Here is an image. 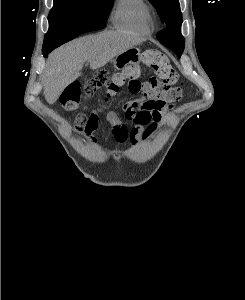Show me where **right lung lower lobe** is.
Listing matches in <instances>:
<instances>
[{"label":"right lung lower lobe","mask_w":245,"mask_h":300,"mask_svg":"<svg viewBox=\"0 0 245 300\" xmlns=\"http://www.w3.org/2000/svg\"><path fill=\"white\" fill-rule=\"evenodd\" d=\"M104 27H105V23L91 20V21L83 24L82 32L85 33V32H89V31H93V30H99ZM52 50H53V48H42V53H43L44 57L46 58Z\"/></svg>","instance_id":"right-lung-lower-lobe-1"}]
</instances>
